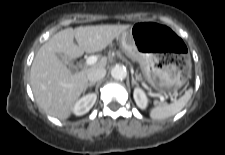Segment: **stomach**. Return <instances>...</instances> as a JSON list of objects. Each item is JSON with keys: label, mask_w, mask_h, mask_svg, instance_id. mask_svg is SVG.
Masks as SVG:
<instances>
[{"label": "stomach", "mask_w": 225, "mask_h": 155, "mask_svg": "<svg viewBox=\"0 0 225 155\" xmlns=\"http://www.w3.org/2000/svg\"><path fill=\"white\" fill-rule=\"evenodd\" d=\"M120 40L126 55L140 64L152 87L179 88L186 82L188 60L181 39L169 27L155 22L135 23Z\"/></svg>", "instance_id": "stomach-1"}]
</instances>
